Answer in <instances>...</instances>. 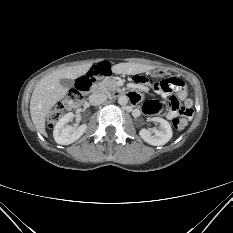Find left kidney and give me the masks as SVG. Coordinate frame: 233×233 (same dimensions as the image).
<instances>
[{"instance_id": "5707ae66", "label": "left kidney", "mask_w": 233, "mask_h": 233, "mask_svg": "<svg viewBox=\"0 0 233 233\" xmlns=\"http://www.w3.org/2000/svg\"><path fill=\"white\" fill-rule=\"evenodd\" d=\"M156 123H159V129L154 131L152 134L149 130L143 128L140 130L139 135L140 137L148 144L153 146H160L166 144L173 135L172 128L169 122L160 117H154L151 119Z\"/></svg>"}]
</instances>
